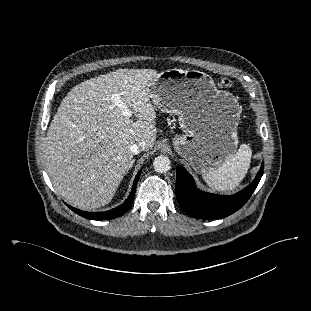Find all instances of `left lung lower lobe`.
Instances as JSON below:
<instances>
[{
	"label": "left lung lower lobe",
	"mask_w": 311,
	"mask_h": 311,
	"mask_svg": "<svg viewBox=\"0 0 311 311\" xmlns=\"http://www.w3.org/2000/svg\"><path fill=\"white\" fill-rule=\"evenodd\" d=\"M263 164L254 181L242 191L222 196L205 193L195 187L192 176L183 168L177 170L176 198L188 215L199 219H219L239 210L250 198L263 175Z\"/></svg>",
	"instance_id": "0a47b994"
}]
</instances>
